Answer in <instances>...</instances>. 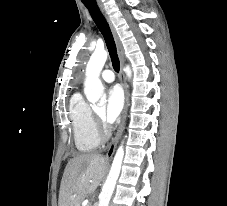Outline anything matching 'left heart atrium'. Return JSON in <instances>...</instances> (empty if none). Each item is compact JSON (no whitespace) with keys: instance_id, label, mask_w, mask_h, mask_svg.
<instances>
[{"instance_id":"left-heart-atrium-1","label":"left heart atrium","mask_w":227,"mask_h":206,"mask_svg":"<svg viewBox=\"0 0 227 206\" xmlns=\"http://www.w3.org/2000/svg\"><path fill=\"white\" fill-rule=\"evenodd\" d=\"M124 105V96L121 88L119 86H113L109 89L107 94V106L104 115V120L111 124L115 122Z\"/></svg>"}]
</instances>
